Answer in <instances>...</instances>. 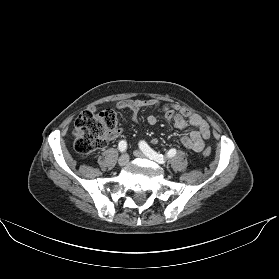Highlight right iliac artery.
<instances>
[{
  "label": "right iliac artery",
  "mask_w": 279,
  "mask_h": 279,
  "mask_svg": "<svg viewBox=\"0 0 279 279\" xmlns=\"http://www.w3.org/2000/svg\"><path fill=\"white\" fill-rule=\"evenodd\" d=\"M118 148L120 150V152H125L127 149V143L126 141L122 140L119 142Z\"/></svg>",
  "instance_id": "right-iliac-artery-1"
}]
</instances>
